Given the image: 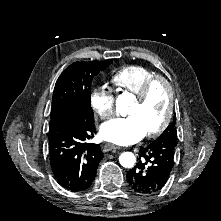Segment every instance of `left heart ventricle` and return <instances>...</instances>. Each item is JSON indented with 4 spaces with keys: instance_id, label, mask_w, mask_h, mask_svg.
Returning a JSON list of instances; mask_svg holds the SVG:
<instances>
[{
    "instance_id": "left-heart-ventricle-1",
    "label": "left heart ventricle",
    "mask_w": 221,
    "mask_h": 221,
    "mask_svg": "<svg viewBox=\"0 0 221 221\" xmlns=\"http://www.w3.org/2000/svg\"><path fill=\"white\" fill-rule=\"evenodd\" d=\"M168 107V93L163 84L156 85L145 103L139 105L134 100L127 111V116L134 117L145 133L157 128L165 118Z\"/></svg>"
}]
</instances>
